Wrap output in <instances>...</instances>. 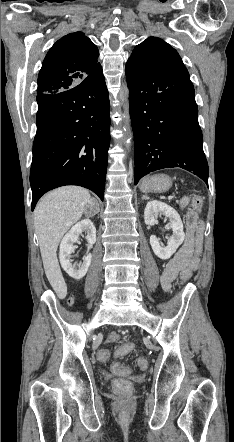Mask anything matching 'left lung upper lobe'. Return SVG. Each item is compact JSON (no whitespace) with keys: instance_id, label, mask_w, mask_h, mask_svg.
<instances>
[{"instance_id":"1","label":"left lung upper lobe","mask_w":234,"mask_h":442,"mask_svg":"<svg viewBox=\"0 0 234 442\" xmlns=\"http://www.w3.org/2000/svg\"><path fill=\"white\" fill-rule=\"evenodd\" d=\"M129 59L155 66H184L175 49L162 39L154 37H149L136 46Z\"/></svg>"}]
</instances>
